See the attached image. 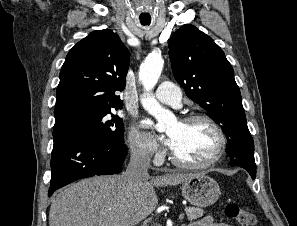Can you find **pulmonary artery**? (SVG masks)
Returning <instances> with one entry per match:
<instances>
[{
  "label": "pulmonary artery",
  "instance_id": "obj_1",
  "mask_svg": "<svg viewBox=\"0 0 297 226\" xmlns=\"http://www.w3.org/2000/svg\"><path fill=\"white\" fill-rule=\"evenodd\" d=\"M157 100L161 103L179 106L182 93L178 86L169 81L161 82L155 92Z\"/></svg>",
  "mask_w": 297,
  "mask_h": 226
}]
</instances>
